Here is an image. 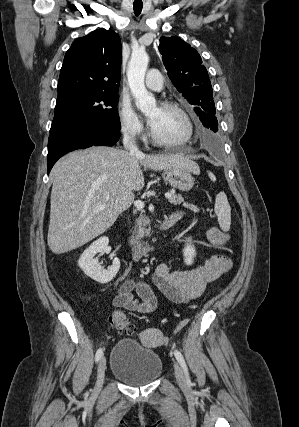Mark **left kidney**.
Listing matches in <instances>:
<instances>
[{"instance_id":"5707ae66","label":"left kidney","mask_w":299,"mask_h":427,"mask_svg":"<svg viewBox=\"0 0 299 427\" xmlns=\"http://www.w3.org/2000/svg\"><path fill=\"white\" fill-rule=\"evenodd\" d=\"M184 262L186 265H191L194 261V257L196 256L195 247L191 243V239H187V243L183 249Z\"/></svg>"}]
</instances>
